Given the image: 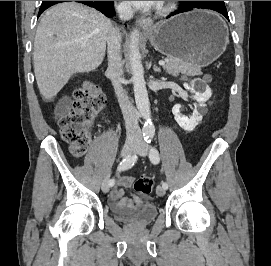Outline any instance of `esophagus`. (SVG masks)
I'll use <instances>...</instances> for the list:
<instances>
[{
	"label": "esophagus",
	"mask_w": 271,
	"mask_h": 266,
	"mask_svg": "<svg viewBox=\"0 0 271 266\" xmlns=\"http://www.w3.org/2000/svg\"><path fill=\"white\" fill-rule=\"evenodd\" d=\"M137 25L143 31H149L153 27V20L151 18L142 17L137 20Z\"/></svg>",
	"instance_id": "obj_1"
}]
</instances>
